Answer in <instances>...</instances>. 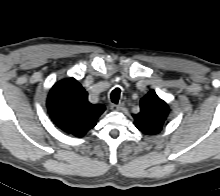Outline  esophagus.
I'll list each match as a JSON object with an SVG mask.
<instances>
[{"label": "esophagus", "mask_w": 220, "mask_h": 196, "mask_svg": "<svg viewBox=\"0 0 220 196\" xmlns=\"http://www.w3.org/2000/svg\"><path fill=\"white\" fill-rule=\"evenodd\" d=\"M110 108L114 111H120L123 108L122 104H111Z\"/></svg>", "instance_id": "34e87169"}]
</instances>
